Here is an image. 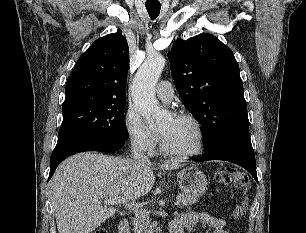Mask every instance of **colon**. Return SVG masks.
<instances>
[{
  "label": "colon",
  "instance_id": "1",
  "mask_svg": "<svg viewBox=\"0 0 306 233\" xmlns=\"http://www.w3.org/2000/svg\"><path fill=\"white\" fill-rule=\"evenodd\" d=\"M217 179L221 183H229L231 181H234L236 185L244 191L248 188L247 176L234 168H221L217 173ZM247 210L248 203L245 199H243L234 207L233 216L237 219H240L246 215ZM94 233H109V231L107 226H103L96 229Z\"/></svg>",
  "mask_w": 306,
  "mask_h": 233
}]
</instances>
